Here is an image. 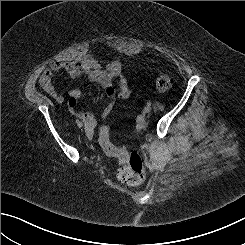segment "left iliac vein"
I'll return each mask as SVG.
<instances>
[{"instance_id": "left-iliac-vein-1", "label": "left iliac vein", "mask_w": 245, "mask_h": 245, "mask_svg": "<svg viewBox=\"0 0 245 245\" xmlns=\"http://www.w3.org/2000/svg\"><path fill=\"white\" fill-rule=\"evenodd\" d=\"M152 111V108L150 107V106H146L145 108H144V112L145 113H150Z\"/></svg>"}]
</instances>
